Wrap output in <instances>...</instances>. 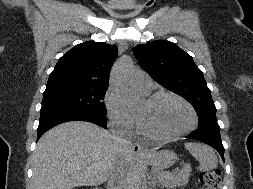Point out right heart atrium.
<instances>
[{
  "mask_svg": "<svg viewBox=\"0 0 253 189\" xmlns=\"http://www.w3.org/2000/svg\"><path fill=\"white\" fill-rule=\"evenodd\" d=\"M105 105L113 126L121 130H129L134 123V116L125 107L121 97L113 91L105 96Z\"/></svg>",
  "mask_w": 253,
  "mask_h": 189,
  "instance_id": "1",
  "label": "right heart atrium"
}]
</instances>
